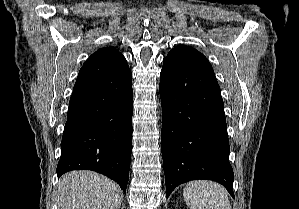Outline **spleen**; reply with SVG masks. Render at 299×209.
<instances>
[{
	"instance_id": "spleen-1",
	"label": "spleen",
	"mask_w": 299,
	"mask_h": 209,
	"mask_svg": "<svg viewBox=\"0 0 299 209\" xmlns=\"http://www.w3.org/2000/svg\"><path fill=\"white\" fill-rule=\"evenodd\" d=\"M190 209H231L226 189L212 181H193L183 189Z\"/></svg>"
}]
</instances>
